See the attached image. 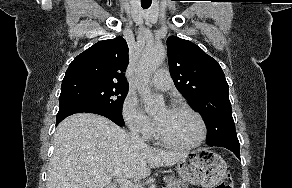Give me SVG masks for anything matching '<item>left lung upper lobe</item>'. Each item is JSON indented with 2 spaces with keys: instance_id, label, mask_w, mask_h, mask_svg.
I'll return each instance as SVG.
<instances>
[{
  "instance_id": "obj_1",
  "label": "left lung upper lobe",
  "mask_w": 292,
  "mask_h": 188,
  "mask_svg": "<svg viewBox=\"0 0 292 188\" xmlns=\"http://www.w3.org/2000/svg\"><path fill=\"white\" fill-rule=\"evenodd\" d=\"M167 49L174 84L205 120L207 143L236 133L229 86L218 62L196 44L177 36L167 39Z\"/></svg>"
}]
</instances>
